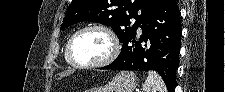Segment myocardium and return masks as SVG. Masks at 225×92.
Returning a JSON list of instances; mask_svg holds the SVG:
<instances>
[{
  "instance_id": "myocardium-1",
  "label": "myocardium",
  "mask_w": 225,
  "mask_h": 92,
  "mask_svg": "<svg viewBox=\"0 0 225 92\" xmlns=\"http://www.w3.org/2000/svg\"><path fill=\"white\" fill-rule=\"evenodd\" d=\"M90 30H97V31L103 32L109 39L111 51L106 58H104L98 62L90 63V64L79 63L78 61H76L74 59V57L72 55V46H73L74 41L77 39V37L79 35H81L82 33L86 32V31H90ZM119 51H120V46H119V41L117 39L116 34L109 27H107L105 25H100V24L87 25V26L79 29L70 37V39L68 40L67 45H66V56H67L68 62L72 66H74L76 68H80V69H94V68H100V67L107 66V65L111 64L117 58Z\"/></svg>"
}]
</instances>
